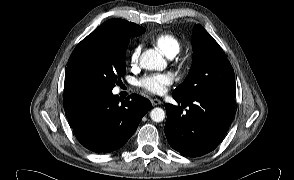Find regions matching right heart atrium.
<instances>
[{
	"label": "right heart atrium",
	"mask_w": 294,
	"mask_h": 180,
	"mask_svg": "<svg viewBox=\"0 0 294 180\" xmlns=\"http://www.w3.org/2000/svg\"><path fill=\"white\" fill-rule=\"evenodd\" d=\"M139 57V47H134L129 53V61L132 66H135L138 63Z\"/></svg>",
	"instance_id": "right-heart-atrium-1"
}]
</instances>
